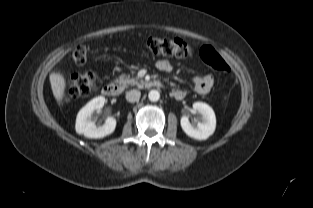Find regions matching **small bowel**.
Returning <instances> with one entry per match:
<instances>
[{"instance_id": "small-bowel-1", "label": "small bowel", "mask_w": 313, "mask_h": 208, "mask_svg": "<svg viewBox=\"0 0 313 208\" xmlns=\"http://www.w3.org/2000/svg\"><path fill=\"white\" fill-rule=\"evenodd\" d=\"M156 67L158 70L162 72H170L172 70V66L167 60H159L156 63ZM194 90L198 94H207L210 92L213 87V77L211 75L204 76H194L193 79ZM187 95V92L181 88H175L172 90V96L178 100L183 99Z\"/></svg>"}]
</instances>
